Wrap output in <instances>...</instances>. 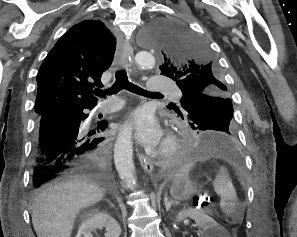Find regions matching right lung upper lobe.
<instances>
[{"instance_id":"right-lung-upper-lobe-1","label":"right lung upper lobe","mask_w":297,"mask_h":237,"mask_svg":"<svg viewBox=\"0 0 297 237\" xmlns=\"http://www.w3.org/2000/svg\"><path fill=\"white\" fill-rule=\"evenodd\" d=\"M116 40L100 21L69 29L48 53L37 74V116L55 109L94 106V86L112 63Z\"/></svg>"}]
</instances>
